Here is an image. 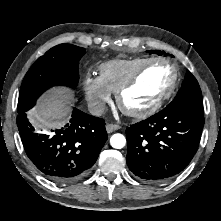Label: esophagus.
<instances>
[{
    "mask_svg": "<svg viewBox=\"0 0 221 221\" xmlns=\"http://www.w3.org/2000/svg\"><path fill=\"white\" fill-rule=\"evenodd\" d=\"M120 128H121V127H120V125H118V124L108 123V124L106 125V130H107L108 133H111V132H113V131H116V130H118V129H120Z\"/></svg>",
    "mask_w": 221,
    "mask_h": 221,
    "instance_id": "1",
    "label": "esophagus"
}]
</instances>
